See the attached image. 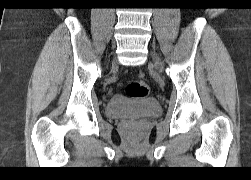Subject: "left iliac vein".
<instances>
[{"label": "left iliac vein", "mask_w": 251, "mask_h": 180, "mask_svg": "<svg viewBox=\"0 0 251 180\" xmlns=\"http://www.w3.org/2000/svg\"><path fill=\"white\" fill-rule=\"evenodd\" d=\"M152 56H153L156 68H158L159 70H162L163 69L162 62L158 58L157 54L155 52H152Z\"/></svg>", "instance_id": "left-iliac-vein-1"}]
</instances>
